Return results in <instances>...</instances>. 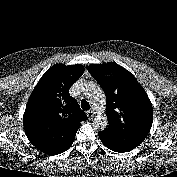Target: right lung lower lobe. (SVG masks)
Instances as JSON below:
<instances>
[{
	"label": "right lung lower lobe",
	"mask_w": 177,
	"mask_h": 177,
	"mask_svg": "<svg viewBox=\"0 0 177 177\" xmlns=\"http://www.w3.org/2000/svg\"><path fill=\"white\" fill-rule=\"evenodd\" d=\"M72 144H70V146H71ZM70 146H66V147H64L63 149H61V150H57L55 153H50V151H46V150H48L49 148H47V147H45V146H42V145H38V146H36L38 149H40V150H42L43 152H46L47 154H49V155H56V154H60V153H62V152H64V151H66Z\"/></svg>",
	"instance_id": "right-lung-lower-lobe-1"
}]
</instances>
